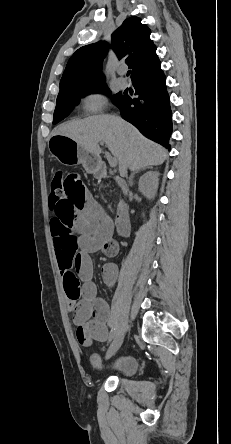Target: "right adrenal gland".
<instances>
[{
  "label": "right adrenal gland",
  "instance_id": "1",
  "mask_svg": "<svg viewBox=\"0 0 231 444\" xmlns=\"http://www.w3.org/2000/svg\"><path fill=\"white\" fill-rule=\"evenodd\" d=\"M151 168H152V167H144V168H141V169H138V170L134 171V172L131 174L130 178H129V184H130L131 186L133 185V178H134V175H135V174L139 173L140 171H143V170H146V169H151Z\"/></svg>",
  "mask_w": 231,
  "mask_h": 444
}]
</instances>
